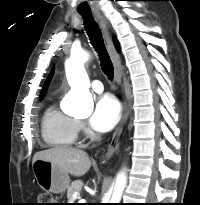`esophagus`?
<instances>
[{"instance_id": "esophagus-1", "label": "esophagus", "mask_w": 200, "mask_h": 205, "mask_svg": "<svg viewBox=\"0 0 200 205\" xmlns=\"http://www.w3.org/2000/svg\"><path fill=\"white\" fill-rule=\"evenodd\" d=\"M94 17L104 31L107 49H108L109 55L111 57V60L113 62V66H114V79H115V82L120 86V84H121V62H120L119 53L117 52V50L113 44L112 38L108 32L107 22H106L105 18L99 12L94 13ZM120 94H121L122 100H123V116H122V119H121L119 126L116 128V130H115V132L110 140L107 152L104 155V161L109 160L113 156V154L118 150L119 137H120L123 126H124V124L127 120V117H128L127 102L124 98L122 88H120Z\"/></svg>"}]
</instances>
